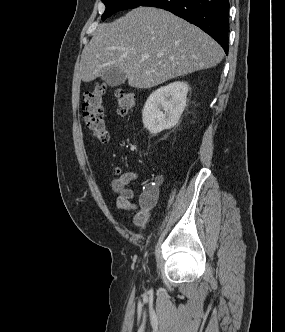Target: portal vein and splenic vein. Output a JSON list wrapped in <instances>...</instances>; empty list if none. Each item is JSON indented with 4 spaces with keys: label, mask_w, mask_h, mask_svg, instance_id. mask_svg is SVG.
<instances>
[{
    "label": "portal vein and splenic vein",
    "mask_w": 285,
    "mask_h": 332,
    "mask_svg": "<svg viewBox=\"0 0 285 332\" xmlns=\"http://www.w3.org/2000/svg\"><path fill=\"white\" fill-rule=\"evenodd\" d=\"M143 59H148V56H144V58Z\"/></svg>",
    "instance_id": "18ae733b"
}]
</instances>
